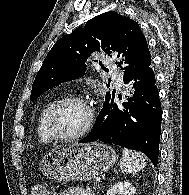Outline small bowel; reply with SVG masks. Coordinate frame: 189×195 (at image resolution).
I'll return each mask as SVG.
<instances>
[{"label":"small bowel","mask_w":189,"mask_h":195,"mask_svg":"<svg viewBox=\"0 0 189 195\" xmlns=\"http://www.w3.org/2000/svg\"><path fill=\"white\" fill-rule=\"evenodd\" d=\"M60 195H94L90 188L70 187L61 192Z\"/></svg>","instance_id":"c3829d8e"}]
</instances>
